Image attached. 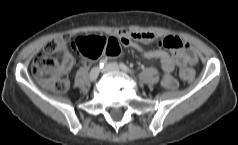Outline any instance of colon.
Instances as JSON below:
<instances>
[{
	"label": "colon",
	"mask_w": 238,
	"mask_h": 145,
	"mask_svg": "<svg viewBox=\"0 0 238 145\" xmlns=\"http://www.w3.org/2000/svg\"><path fill=\"white\" fill-rule=\"evenodd\" d=\"M64 41L52 40L33 59L31 71L34 76L46 87L58 93H63L68 88L66 74L59 70V59L62 56ZM72 47L83 58V60H95L102 55L118 56L121 51V44L114 37H78L72 43ZM180 76L185 81L192 80L194 72L190 68L180 71Z\"/></svg>",
	"instance_id": "1"
}]
</instances>
